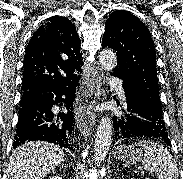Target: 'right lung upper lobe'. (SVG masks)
I'll list each match as a JSON object with an SVG mask.
<instances>
[{"mask_svg": "<svg viewBox=\"0 0 183 179\" xmlns=\"http://www.w3.org/2000/svg\"><path fill=\"white\" fill-rule=\"evenodd\" d=\"M80 38L65 17L52 18L33 34L25 51L23 95L40 85H69L78 81L83 61Z\"/></svg>", "mask_w": 183, "mask_h": 179, "instance_id": "right-lung-upper-lobe-1", "label": "right lung upper lobe"}]
</instances>
